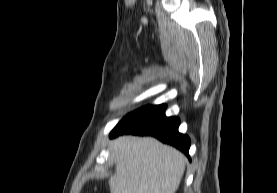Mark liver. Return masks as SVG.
Returning <instances> with one entry per match:
<instances>
[{
  "label": "liver",
  "mask_w": 277,
  "mask_h": 193,
  "mask_svg": "<svg viewBox=\"0 0 277 193\" xmlns=\"http://www.w3.org/2000/svg\"><path fill=\"white\" fill-rule=\"evenodd\" d=\"M110 157L116 166L111 193H175L186 164L180 151L152 137H118Z\"/></svg>",
  "instance_id": "liver-1"
}]
</instances>
